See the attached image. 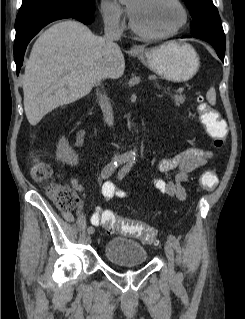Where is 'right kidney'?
Listing matches in <instances>:
<instances>
[{"mask_svg": "<svg viewBox=\"0 0 245 319\" xmlns=\"http://www.w3.org/2000/svg\"><path fill=\"white\" fill-rule=\"evenodd\" d=\"M57 157L69 165L78 164V157L65 138H62L57 145Z\"/></svg>", "mask_w": 245, "mask_h": 319, "instance_id": "right-kidney-1", "label": "right kidney"}]
</instances>
